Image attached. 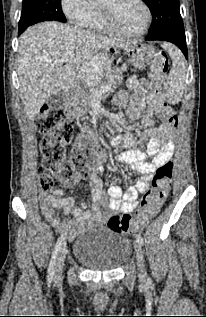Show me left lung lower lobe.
Instances as JSON below:
<instances>
[{
	"mask_svg": "<svg viewBox=\"0 0 206 317\" xmlns=\"http://www.w3.org/2000/svg\"><path fill=\"white\" fill-rule=\"evenodd\" d=\"M148 40V39H146ZM161 41H167V42H171L173 44H175L176 46H178L181 51L183 52V54L185 55L186 58H188V52H187V46H186V38L185 37H165V38H161L158 39Z\"/></svg>",
	"mask_w": 206,
	"mask_h": 317,
	"instance_id": "0a47b994",
	"label": "left lung lower lobe"
}]
</instances>
